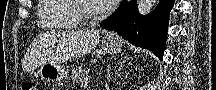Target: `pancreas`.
<instances>
[{
	"instance_id": "1",
	"label": "pancreas",
	"mask_w": 216,
	"mask_h": 90,
	"mask_svg": "<svg viewBox=\"0 0 216 90\" xmlns=\"http://www.w3.org/2000/svg\"><path fill=\"white\" fill-rule=\"evenodd\" d=\"M73 82H82L83 78H88V70L87 68H84V66H80V68H74L72 70V76H71Z\"/></svg>"
}]
</instances>
